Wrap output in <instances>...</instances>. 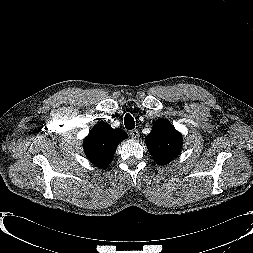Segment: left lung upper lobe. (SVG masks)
Masks as SVG:
<instances>
[{"label": "left lung upper lobe", "instance_id": "obj_1", "mask_svg": "<svg viewBox=\"0 0 253 253\" xmlns=\"http://www.w3.org/2000/svg\"><path fill=\"white\" fill-rule=\"evenodd\" d=\"M145 143L155 162L166 165L180 153L182 136L168 120L160 119L154 123Z\"/></svg>", "mask_w": 253, "mask_h": 253}]
</instances>
